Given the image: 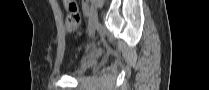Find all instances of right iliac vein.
<instances>
[{
  "label": "right iliac vein",
  "instance_id": "63e3f726",
  "mask_svg": "<svg viewBox=\"0 0 209 90\" xmlns=\"http://www.w3.org/2000/svg\"><path fill=\"white\" fill-rule=\"evenodd\" d=\"M98 25V16L94 7L91 8L89 18V35L92 36Z\"/></svg>",
  "mask_w": 209,
  "mask_h": 90
}]
</instances>
